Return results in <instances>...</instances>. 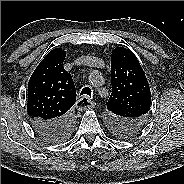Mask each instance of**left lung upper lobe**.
Listing matches in <instances>:
<instances>
[{
  "instance_id": "left-lung-upper-lobe-1",
  "label": "left lung upper lobe",
  "mask_w": 184,
  "mask_h": 184,
  "mask_svg": "<svg viewBox=\"0 0 184 184\" xmlns=\"http://www.w3.org/2000/svg\"><path fill=\"white\" fill-rule=\"evenodd\" d=\"M111 83V96L107 102L109 126L118 136H131L146 123L151 92L139 61L129 49L118 47L113 50Z\"/></svg>"
}]
</instances>
